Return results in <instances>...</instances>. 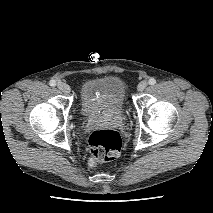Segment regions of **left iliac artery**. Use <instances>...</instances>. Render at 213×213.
I'll return each mask as SVG.
<instances>
[{
  "label": "left iliac artery",
  "instance_id": "1",
  "mask_svg": "<svg viewBox=\"0 0 213 213\" xmlns=\"http://www.w3.org/2000/svg\"><path fill=\"white\" fill-rule=\"evenodd\" d=\"M148 82H149L150 85L156 84V80L154 78H150Z\"/></svg>",
  "mask_w": 213,
  "mask_h": 213
}]
</instances>
